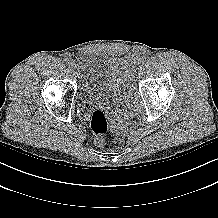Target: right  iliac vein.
<instances>
[{"label":"right iliac vein","instance_id":"right-iliac-vein-1","mask_svg":"<svg viewBox=\"0 0 218 218\" xmlns=\"http://www.w3.org/2000/svg\"><path fill=\"white\" fill-rule=\"evenodd\" d=\"M71 68H72V70L74 71V73L76 74V71L78 70V66H77L76 62H74V63L71 65Z\"/></svg>","mask_w":218,"mask_h":218}]
</instances>
